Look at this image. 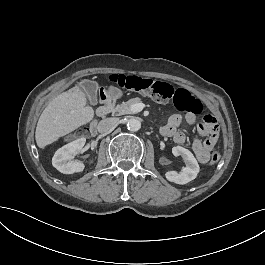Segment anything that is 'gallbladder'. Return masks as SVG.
<instances>
[{
  "mask_svg": "<svg viewBox=\"0 0 265 265\" xmlns=\"http://www.w3.org/2000/svg\"><path fill=\"white\" fill-rule=\"evenodd\" d=\"M80 89L85 90L90 103L96 104L98 101L97 97V84L90 81H82L79 84Z\"/></svg>",
  "mask_w": 265,
  "mask_h": 265,
  "instance_id": "1",
  "label": "gallbladder"
}]
</instances>
